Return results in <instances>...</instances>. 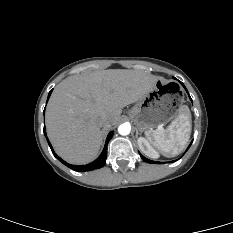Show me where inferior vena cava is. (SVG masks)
Masks as SVG:
<instances>
[{"label": "inferior vena cava", "instance_id": "obj_1", "mask_svg": "<svg viewBox=\"0 0 233 233\" xmlns=\"http://www.w3.org/2000/svg\"><path fill=\"white\" fill-rule=\"evenodd\" d=\"M107 125H108L107 119L106 118H101L100 126L105 128Z\"/></svg>", "mask_w": 233, "mask_h": 233}]
</instances>
